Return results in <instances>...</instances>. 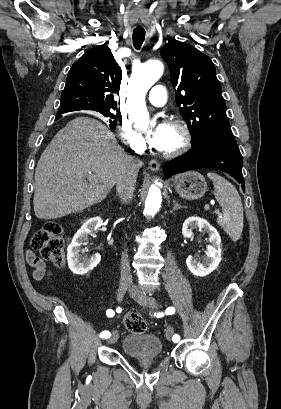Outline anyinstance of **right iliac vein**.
<instances>
[{
	"label": "right iliac vein",
	"mask_w": 281,
	"mask_h": 409,
	"mask_svg": "<svg viewBox=\"0 0 281 409\" xmlns=\"http://www.w3.org/2000/svg\"><path fill=\"white\" fill-rule=\"evenodd\" d=\"M128 283L125 281H121L117 290V300L120 302L124 298V295L128 289ZM118 339V333L115 331L113 332L112 336L107 340L108 344H113Z\"/></svg>",
	"instance_id": "right-iliac-vein-1"
}]
</instances>
